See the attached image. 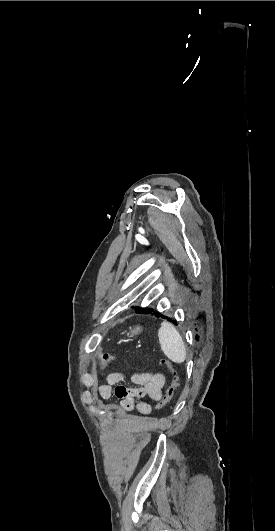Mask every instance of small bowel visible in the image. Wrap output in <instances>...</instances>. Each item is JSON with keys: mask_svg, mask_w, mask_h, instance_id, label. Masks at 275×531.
Wrapping results in <instances>:
<instances>
[{"mask_svg": "<svg viewBox=\"0 0 275 531\" xmlns=\"http://www.w3.org/2000/svg\"><path fill=\"white\" fill-rule=\"evenodd\" d=\"M135 387L126 388L127 395L120 401L119 410L130 412L136 409L140 415L151 413L150 402L161 400L165 376L161 373H138L132 377ZM125 381V375L121 372H112L107 376V383L99 387V395L102 399H110L114 396V390ZM108 409L113 406L108 405Z\"/></svg>", "mask_w": 275, "mask_h": 531, "instance_id": "1", "label": "small bowel"}]
</instances>
